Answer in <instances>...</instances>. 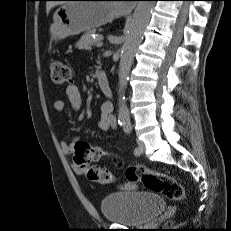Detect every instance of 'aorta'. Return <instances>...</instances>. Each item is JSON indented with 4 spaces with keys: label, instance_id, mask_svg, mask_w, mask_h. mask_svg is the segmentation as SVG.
<instances>
[{
    "label": "aorta",
    "instance_id": "aorta-1",
    "mask_svg": "<svg viewBox=\"0 0 231 231\" xmlns=\"http://www.w3.org/2000/svg\"><path fill=\"white\" fill-rule=\"evenodd\" d=\"M154 6L155 1L138 2L128 26L125 42L121 48L119 63L118 120L125 124L130 122V113L124 97L127 80L135 52L142 42Z\"/></svg>",
    "mask_w": 231,
    "mask_h": 231
}]
</instances>
